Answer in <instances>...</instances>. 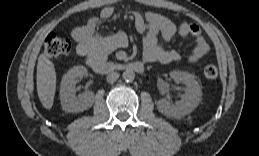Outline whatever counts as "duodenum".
<instances>
[{
  "label": "duodenum",
  "mask_w": 259,
  "mask_h": 156,
  "mask_svg": "<svg viewBox=\"0 0 259 156\" xmlns=\"http://www.w3.org/2000/svg\"><path fill=\"white\" fill-rule=\"evenodd\" d=\"M87 63L97 73L108 74L114 71H132L142 73L144 71V64L142 62H105L99 59L88 58Z\"/></svg>",
  "instance_id": "duodenum-1"
}]
</instances>
